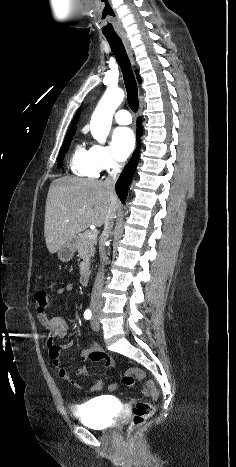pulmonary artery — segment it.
Returning a JSON list of instances; mask_svg holds the SVG:
<instances>
[{"label": "pulmonary artery", "mask_w": 236, "mask_h": 467, "mask_svg": "<svg viewBox=\"0 0 236 467\" xmlns=\"http://www.w3.org/2000/svg\"><path fill=\"white\" fill-rule=\"evenodd\" d=\"M115 121L121 125H128L132 122V118L127 110L122 109L115 114Z\"/></svg>", "instance_id": "e3ab8cb5"}]
</instances>
